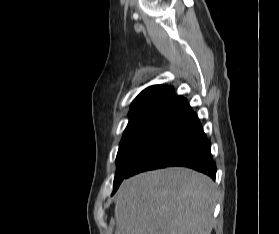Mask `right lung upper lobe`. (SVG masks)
Returning <instances> with one entry per match:
<instances>
[{
  "label": "right lung upper lobe",
  "instance_id": "right-lung-upper-lobe-1",
  "mask_svg": "<svg viewBox=\"0 0 279 234\" xmlns=\"http://www.w3.org/2000/svg\"><path fill=\"white\" fill-rule=\"evenodd\" d=\"M183 99L182 96L174 94L172 86L153 85L143 90L135 98L130 107V113L153 108H173Z\"/></svg>",
  "mask_w": 279,
  "mask_h": 234
}]
</instances>
